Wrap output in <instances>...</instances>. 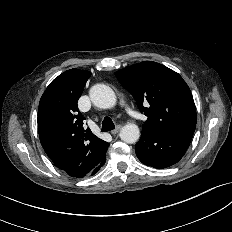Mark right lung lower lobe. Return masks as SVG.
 Wrapping results in <instances>:
<instances>
[{
  "label": "right lung lower lobe",
  "instance_id": "1",
  "mask_svg": "<svg viewBox=\"0 0 232 232\" xmlns=\"http://www.w3.org/2000/svg\"><path fill=\"white\" fill-rule=\"evenodd\" d=\"M105 161H106V157H104L102 161L89 174L90 175L95 174L104 165Z\"/></svg>",
  "mask_w": 232,
  "mask_h": 232
}]
</instances>
